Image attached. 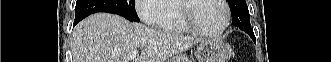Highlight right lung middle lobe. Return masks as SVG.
Segmentation results:
<instances>
[{
  "label": "right lung middle lobe",
  "mask_w": 331,
  "mask_h": 62,
  "mask_svg": "<svg viewBox=\"0 0 331 62\" xmlns=\"http://www.w3.org/2000/svg\"><path fill=\"white\" fill-rule=\"evenodd\" d=\"M97 12L118 14L129 21H140L135 10L134 0H77L75 21L79 22Z\"/></svg>",
  "instance_id": "right-lung-middle-lobe-1"
}]
</instances>
